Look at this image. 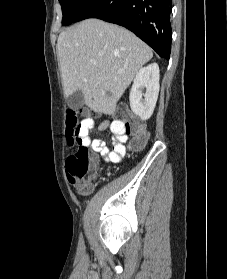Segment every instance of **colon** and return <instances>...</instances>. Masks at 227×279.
Instances as JSON below:
<instances>
[{
    "mask_svg": "<svg viewBox=\"0 0 227 279\" xmlns=\"http://www.w3.org/2000/svg\"><path fill=\"white\" fill-rule=\"evenodd\" d=\"M118 115V121L125 132L133 135L129 149L133 151L142 149L149 135L141 121L137 118L129 119L130 112L124 105L118 107ZM89 120L91 119L80 120L79 114L75 110H70L67 114L66 136L69 140L74 139L78 148L68 156L66 168L69 176L78 180L75 186L81 193H86L92 188L93 183L86 178V175L97 162L96 155L89 149L90 139L87 130Z\"/></svg>",
    "mask_w": 227,
    "mask_h": 279,
    "instance_id": "obj_1",
    "label": "colon"
}]
</instances>
